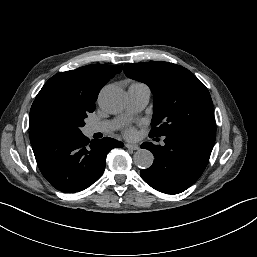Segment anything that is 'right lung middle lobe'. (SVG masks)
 <instances>
[{"label":"right lung middle lobe","instance_id":"1","mask_svg":"<svg viewBox=\"0 0 257 257\" xmlns=\"http://www.w3.org/2000/svg\"><path fill=\"white\" fill-rule=\"evenodd\" d=\"M95 110L79 98L62 92L49 91L36 103L31 116L33 128L46 136L79 135L84 119Z\"/></svg>","mask_w":257,"mask_h":257}]
</instances>
